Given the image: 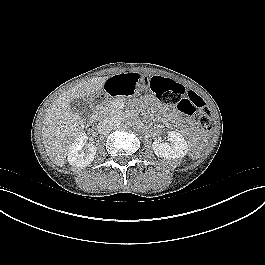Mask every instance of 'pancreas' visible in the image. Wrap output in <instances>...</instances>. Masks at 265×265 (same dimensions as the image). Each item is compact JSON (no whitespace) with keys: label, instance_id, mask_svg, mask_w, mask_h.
<instances>
[{"label":"pancreas","instance_id":"pancreas-1","mask_svg":"<svg viewBox=\"0 0 265 265\" xmlns=\"http://www.w3.org/2000/svg\"><path fill=\"white\" fill-rule=\"evenodd\" d=\"M118 110L114 108V101H109L104 104V106L101 107L99 111V115L101 117H108L112 116L114 113H116Z\"/></svg>","mask_w":265,"mask_h":265}]
</instances>
